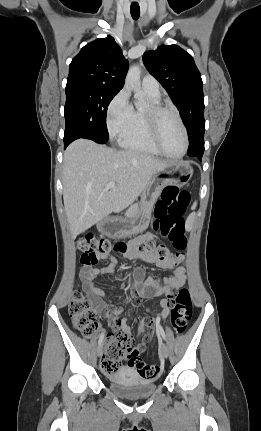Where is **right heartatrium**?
Wrapping results in <instances>:
<instances>
[{
  "mask_svg": "<svg viewBox=\"0 0 261 431\" xmlns=\"http://www.w3.org/2000/svg\"><path fill=\"white\" fill-rule=\"evenodd\" d=\"M133 111L129 93L126 89H122L107 107L106 122L111 137L120 136L127 129L131 122Z\"/></svg>",
  "mask_w": 261,
  "mask_h": 431,
  "instance_id": "d8ad5b80",
  "label": "right heart atrium"
}]
</instances>
